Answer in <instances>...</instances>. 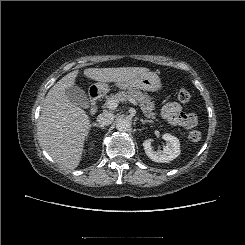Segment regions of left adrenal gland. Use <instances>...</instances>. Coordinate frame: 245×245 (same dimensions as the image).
<instances>
[{"mask_svg": "<svg viewBox=\"0 0 245 245\" xmlns=\"http://www.w3.org/2000/svg\"><path fill=\"white\" fill-rule=\"evenodd\" d=\"M140 121H141L142 124L152 123L151 120H143V119H141Z\"/></svg>", "mask_w": 245, "mask_h": 245, "instance_id": "left-adrenal-gland-1", "label": "left adrenal gland"}]
</instances>
